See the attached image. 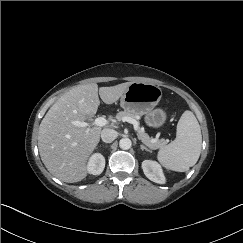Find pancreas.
I'll use <instances>...</instances> for the list:
<instances>
[{
  "mask_svg": "<svg viewBox=\"0 0 243 243\" xmlns=\"http://www.w3.org/2000/svg\"><path fill=\"white\" fill-rule=\"evenodd\" d=\"M132 118L134 120H138L139 116L135 113H130L127 111H121L119 113H117L116 115V119L118 121H123L124 118ZM137 135L138 138L146 145L148 146L150 149H158L159 147H161L162 145H164V141L162 140H155L153 138H150L149 135L144 131V129H140L138 128L137 130Z\"/></svg>",
  "mask_w": 243,
  "mask_h": 243,
  "instance_id": "pancreas-1",
  "label": "pancreas"
}]
</instances>
